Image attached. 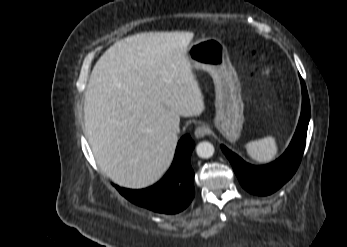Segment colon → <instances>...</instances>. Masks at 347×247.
<instances>
[{
    "label": "colon",
    "instance_id": "obj_1",
    "mask_svg": "<svg viewBox=\"0 0 347 247\" xmlns=\"http://www.w3.org/2000/svg\"><path fill=\"white\" fill-rule=\"evenodd\" d=\"M276 70L277 69H275V68L267 67V66H262L260 68L261 73L264 74V75L272 74V73L276 72Z\"/></svg>",
    "mask_w": 347,
    "mask_h": 247
}]
</instances>
